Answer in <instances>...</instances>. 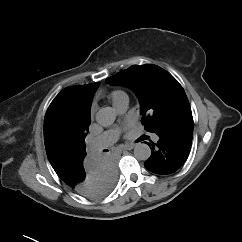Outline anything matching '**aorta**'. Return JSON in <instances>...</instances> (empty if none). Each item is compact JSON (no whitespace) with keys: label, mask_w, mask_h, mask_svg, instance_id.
<instances>
[{"label":"aorta","mask_w":242,"mask_h":242,"mask_svg":"<svg viewBox=\"0 0 242 242\" xmlns=\"http://www.w3.org/2000/svg\"><path fill=\"white\" fill-rule=\"evenodd\" d=\"M96 122L103 126L108 127L112 125L116 119V111L112 107L101 108L96 113ZM134 156L138 160L145 161L151 156V149L145 143H137L134 147Z\"/></svg>","instance_id":"762f6f07"}]
</instances>
